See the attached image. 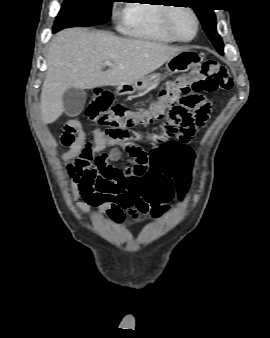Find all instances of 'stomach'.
<instances>
[{"label":"stomach","mask_w":270,"mask_h":338,"mask_svg":"<svg viewBox=\"0 0 270 338\" xmlns=\"http://www.w3.org/2000/svg\"><path fill=\"white\" fill-rule=\"evenodd\" d=\"M200 63V56L192 50H185L166 62V72L169 75L183 73ZM161 79L159 73L146 75L133 83L118 87L121 94H133L156 87Z\"/></svg>","instance_id":"1"}]
</instances>
